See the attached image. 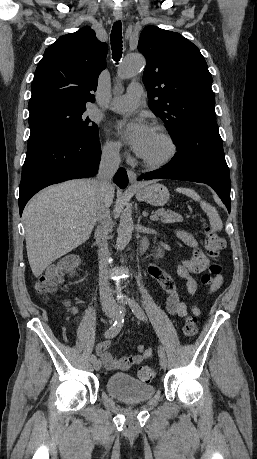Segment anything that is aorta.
<instances>
[{"mask_svg":"<svg viewBox=\"0 0 257 459\" xmlns=\"http://www.w3.org/2000/svg\"><path fill=\"white\" fill-rule=\"evenodd\" d=\"M145 66V59L140 54L127 55L120 68L118 69V78L125 80L136 73L140 72ZM134 229L131 213L128 210H123L120 216V222L117 229L116 243L119 247H125L131 240Z\"/></svg>","mask_w":257,"mask_h":459,"instance_id":"obj_1","label":"aorta"}]
</instances>
